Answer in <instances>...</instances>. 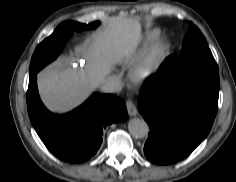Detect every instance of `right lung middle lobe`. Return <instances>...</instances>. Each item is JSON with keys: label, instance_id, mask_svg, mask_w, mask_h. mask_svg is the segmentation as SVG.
Returning <instances> with one entry per match:
<instances>
[{"label": "right lung middle lobe", "instance_id": "right-lung-middle-lobe-1", "mask_svg": "<svg viewBox=\"0 0 236 182\" xmlns=\"http://www.w3.org/2000/svg\"><path fill=\"white\" fill-rule=\"evenodd\" d=\"M98 24L99 22H93L88 25H83L74 21L61 23L50 37L42 41L35 49L30 63V73L40 71L44 66L53 61L60 54L73 31L93 29L97 27Z\"/></svg>", "mask_w": 236, "mask_h": 182}]
</instances>
